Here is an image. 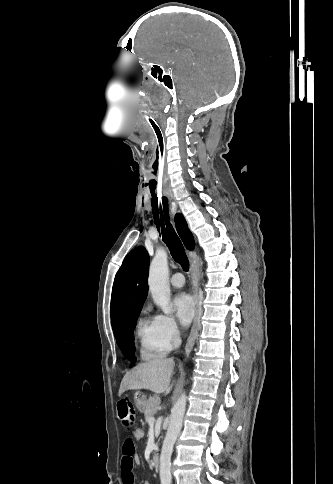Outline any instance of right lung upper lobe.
Masks as SVG:
<instances>
[{"mask_svg": "<svg viewBox=\"0 0 333 484\" xmlns=\"http://www.w3.org/2000/svg\"><path fill=\"white\" fill-rule=\"evenodd\" d=\"M176 229L188 248L194 247L193 236L181 214L175 216ZM150 259L146 249L139 246L124 259L116 274L111 297L113 331L133 312L141 310L148 294L147 276Z\"/></svg>", "mask_w": 333, "mask_h": 484, "instance_id": "cb5924a9", "label": "right lung upper lobe"}]
</instances>
